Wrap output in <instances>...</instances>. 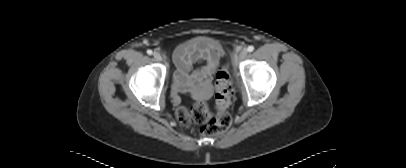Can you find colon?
<instances>
[{
	"mask_svg": "<svg viewBox=\"0 0 406 168\" xmlns=\"http://www.w3.org/2000/svg\"><path fill=\"white\" fill-rule=\"evenodd\" d=\"M216 105L219 112L213 114L204 102H196L190 107H179L177 119L183 126L196 124L201 133L206 136L224 132L231 124V116L225 111L232 100L230 77L226 67H221L216 73Z\"/></svg>",
	"mask_w": 406,
	"mask_h": 168,
	"instance_id": "colon-1",
	"label": "colon"
}]
</instances>
